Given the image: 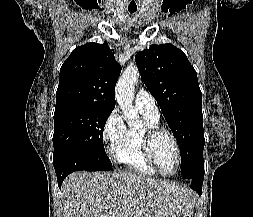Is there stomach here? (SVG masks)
Returning a JSON list of instances; mask_svg holds the SVG:
<instances>
[{"label":"stomach","instance_id":"obj_1","mask_svg":"<svg viewBox=\"0 0 253 217\" xmlns=\"http://www.w3.org/2000/svg\"><path fill=\"white\" fill-rule=\"evenodd\" d=\"M177 217H193V211L192 209L184 208Z\"/></svg>","mask_w":253,"mask_h":217}]
</instances>
